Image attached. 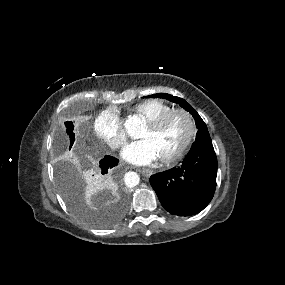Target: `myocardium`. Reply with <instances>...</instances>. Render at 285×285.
Segmentation results:
<instances>
[{
	"label": "myocardium",
	"instance_id": "obj_1",
	"mask_svg": "<svg viewBox=\"0 0 285 285\" xmlns=\"http://www.w3.org/2000/svg\"><path fill=\"white\" fill-rule=\"evenodd\" d=\"M175 116H182L185 119L188 125V133L181 146L175 152L160 157L161 163L165 165L174 164L181 160L187 154L197 134L196 122L193 116L188 111L181 108H172L164 114L148 121V125L151 126L153 129H160Z\"/></svg>",
	"mask_w": 285,
	"mask_h": 285
}]
</instances>
